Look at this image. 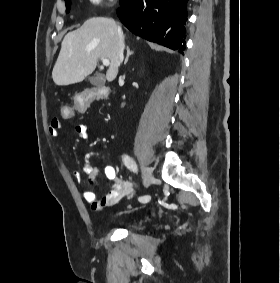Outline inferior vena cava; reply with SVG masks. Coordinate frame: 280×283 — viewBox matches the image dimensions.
I'll return each instance as SVG.
<instances>
[{
    "mask_svg": "<svg viewBox=\"0 0 280 283\" xmlns=\"http://www.w3.org/2000/svg\"><path fill=\"white\" fill-rule=\"evenodd\" d=\"M118 34H119V51H118V56H119V63L122 62L123 60V51L125 48V44H124V37H123V33L120 27H118Z\"/></svg>",
    "mask_w": 280,
    "mask_h": 283,
    "instance_id": "obj_1",
    "label": "inferior vena cava"
}]
</instances>
